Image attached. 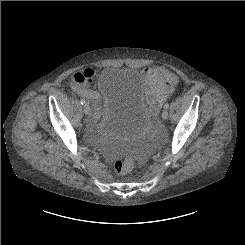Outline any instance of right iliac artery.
<instances>
[{"instance_id":"obj_1","label":"right iliac artery","mask_w":245,"mask_h":245,"mask_svg":"<svg viewBox=\"0 0 245 245\" xmlns=\"http://www.w3.org/2000/svg\"><path fill=\"white\" fill-rule=\"evenodd\" d=\"M80 102H81L82 105H85L86 104V102H85L84 99H81Z\"/></svg>"}]
</instances>
